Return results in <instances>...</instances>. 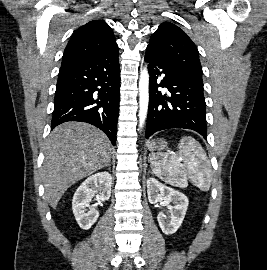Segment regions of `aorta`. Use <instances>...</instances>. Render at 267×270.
I'll return each instance as SVG.
<instances>
[{"mask_svg":"<svg viewBox=\"0 0 267 270\" xmlns=\"http://www.w3.org/2000/svg\"><path fill=\"white\" fill-rule=\"evenodd\" d=\"M149 104V73L145 67L141 70L139 79V126H143Z\"/></svg>","mask_w":267,"mask_h":270,"instance_id":"1","label":"aorta"}]
</instances>
